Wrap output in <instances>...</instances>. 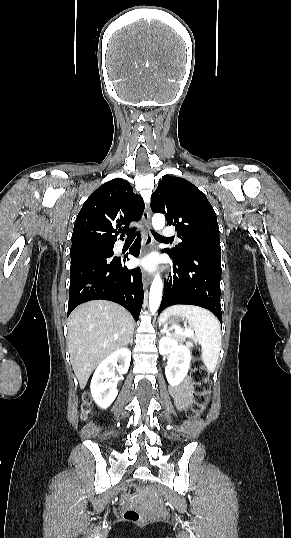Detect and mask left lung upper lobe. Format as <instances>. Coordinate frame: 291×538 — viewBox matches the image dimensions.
<instances>
[{
	"label": "left lung upper lobe",
	"mask_w": 291,
	"mask_h": 538,
	"mask_svg": "<svg viewBox=\"0 0 291 538\" xmlns=\"http://www.w3.org/2000/svg\"><path fill=\"white\" fill-rule=\"evenodd\" d=\"M151 209L165 214L182 240L167 249L173 257L193 249L221 251L215 211L206 196L186 179L164 175L151 196Z\"/></svg>",
	"instance_id": "obj_1"
}]
</instances>
